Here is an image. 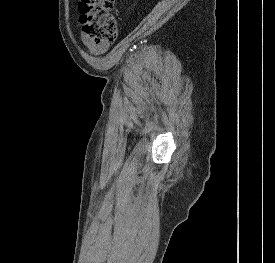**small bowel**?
Instances as JSON below:
<instances>
[{"label": "small bowel", "instance_id": "small-bowel-1", "mask_svg": "<svg viewBox=\"0 0 275 263\" xmlns=\"http://www.w3.org/2000/svg\"><path fill=\"white\" fill-rule=\"evenodd\" d=\"M82 41H83L84 45L87 47V49L91 53L96 54V55L105 52L108 49V47H109V44H96V43H94L86 35L82 36Z\"/></svg>", "mask_w": 275, "mask_h": 263}]
</instances>
